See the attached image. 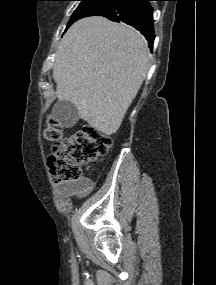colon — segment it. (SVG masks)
<instances>
[{
  "instance_id": "5ec220e1",
  "label": "colon",
  "mask_w": 216,
  "mask_h": 285,
  "mask_svg": "<svg viewBox=\"0 0 216 285\" xmlns=\"http://www.w3.org/2000/svg\"><path fill=\"white\" fill-rule=\"evenodd\" d=\"M45 136L53 142L48 166L59 183L80 181L82 166L106 155L112 144L110 137L92 126L63 137L61 125L52 118L47 122Z\"/></svg>"
}]
</instances>
